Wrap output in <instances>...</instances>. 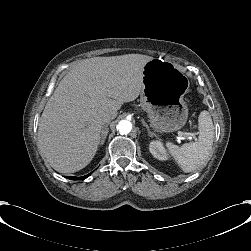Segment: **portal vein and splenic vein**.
I'll list each match as a JSON object with an SVG mask.
<instances>
[{"label":"portal vein and splenic vein","instance_id":"1","mask_svg":"<svg viewBox=\"0 0 251 251\" xmlns=\"http://www.w3.org/2000/svg\"><path fill=\"white\" fill-rule=\"evenodd\" d=\"M183 136H187L188 139L195 140L196 139V133L194 131H185V132H178L177 141L180 142L181 140L185 139ZM191 136V137H190Z\"/></svg>","mask_w":251,"mask_h":251}]
</instances>
